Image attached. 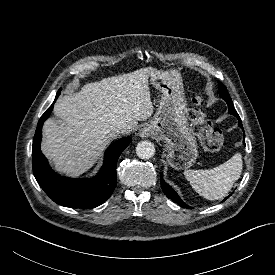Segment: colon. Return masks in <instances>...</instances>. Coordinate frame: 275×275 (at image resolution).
Masks as SVG:
<instances>
[{"label":"colon","mask_w":275,"mask_h":275,"mask_svg":"<svg viewBox=\"0 0 275 275\" xmlns=\"http://www.w3.org/2000/svg\"><path fill=\"white\" fill-rule=\"evenodd\" d=\"M201 103V98L195 97L188 111L192 131L199 138L206 150L210 152L219 151L224 146L223 134L219 129L215 128L207 118L201 108Z\"/></svg>","instance_id":"1"}]
</instances>
